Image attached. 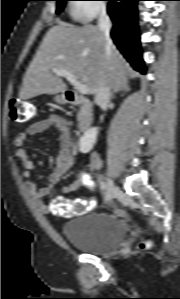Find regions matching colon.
<instances>
[{
	"label": "colon",
	"instance_id": "5ec220e1",
	"mask_svg": "<svg viewBox=\"0 0 180 299\" xmlns=\"http://www.w3.org/2000/svg\"><path fill=\"white\" fill-rule=\"evenodd\" d=\"M9 115L13 122L17 124H26L35 120L39 111L38 108L24 100L11 99L9 102ZM51 212L59 216H77L82 215L92 208V204L86 200H64L62 198H56L52 201ZM147 242H142L140 248L147 247Z\"/></svg>",
	"mask_w": 180,
	"mask_h": 299
}]
</instances>
